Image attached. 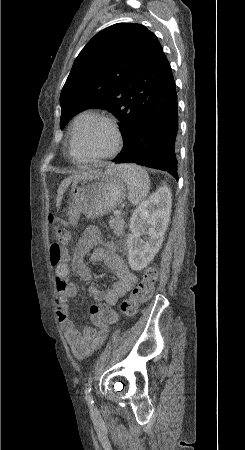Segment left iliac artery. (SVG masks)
Segmentation results:
<instances>
[{"label": "left iliac artery", "mask_w": 245, "mask_h": 450, "mask_svg": "<svg viewBox=\"0 0 245 450\" xmlns=\"http://www.w3.org/2000/svg\"><path fill=\"white\" fill-rule=\"evenodd\" d=\"M92 391V377L89 378L86 387H85V399L89 404H93V397L91 394Z\"/></svg>", "instance_id": "obj_1"}]
</instances>
